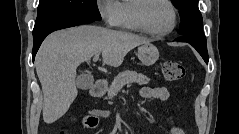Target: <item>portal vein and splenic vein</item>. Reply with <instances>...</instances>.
I'll return each instance as SVG.
<instances>
[{"instance_id": "1", "label": "portal vein and splenic vein", "mask_w": 239, "mask_h": 134, "mask_svg": "<svg viewBox=\"0 0 239 134\" xmlns=\"http://www.w3.org/2000/svg\"><path fill=\"white\" fill-rule=\"evenodd\" d=\"M99 59V54H95L93 57V61L96 62Z\"/></svg>"}]
</instances>
